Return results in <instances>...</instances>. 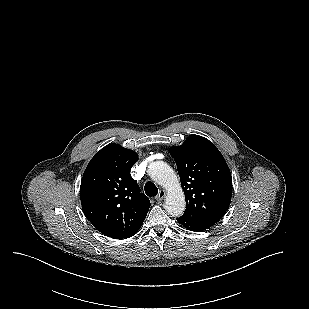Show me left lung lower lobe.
<instances>
[{
  "label": "left lung lower lobe",
  "instance_id": "obj_1",
  "mask_svg": "<svg viewBox=\"0 0 309 309\" xmlns=\"http://www.w3.org/2000/svg\"><path fill=\"white\" fill-rule=\"evenodd\" d=\"M177 221L179 222V224H181L182 226H184L185 228H187L191 231H199L200 232V231L206 230L210 227L207 224L192 220L191 218L184 217V216L177 218Z\"/></svg>",
  "mask_w": 309,
  "mask_h": 309
}]
</instances>
